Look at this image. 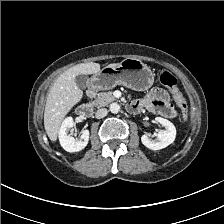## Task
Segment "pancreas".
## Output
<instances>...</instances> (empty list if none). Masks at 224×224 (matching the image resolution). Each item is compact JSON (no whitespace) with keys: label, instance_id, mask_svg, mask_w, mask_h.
Listing matches in <instances>:
<instances>
[{"label":"pancreas","instance_id":"pancreas-1","mask_svg":"<svg viewBox=\"0 0 224 224\" xmlns=\"http://www.w3.org/2000/svg\"><path fill=\"white\" fill-rule=\"evenodd\" d=\"M115 100L116 98L113 96V93L111 91L100 92L96 95V98L92 102V104L95 105L96 107H103Z\"/></svg>","mask_w":224,"mask_h":224}]
</instances>
